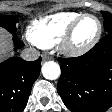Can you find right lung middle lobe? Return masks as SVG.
Masks as SVG:
<instances>
[{
  "instance_id": "dd1d6c3e",
  "label": "right lung middle lobe",
  "mask_w": 112,
  "mask_h": 112,
  "mask_svg": "<svg viewBox=\"0 0 112 112\" xmlns=\"http://www.w3.org/2000/svg\"><path fill=\"white\" fill-rule=\"evenodd\" d=\"M18 19L15 16L0 15V27L8 30L14 37H16V23Z\"/></svg>"
}]
</instances>
